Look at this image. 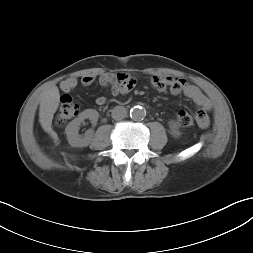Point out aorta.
Instances as JSON below:
<instances>
[{"mask_svg":"<svg viewBox=\"0 0 253 253\" xmlns=\"http://www.w3.org/2000/svg\"><path fill=\"white\" fill-rule=\"evenodd\" d=\"M130 116L133 120L139 121L144 119L146 116V111L142 106L137 105L131 108Z\"/></svg>","mask_w":253,"mask_h":253,"instance_id":"obj_1","label":"aorta"}]
</instances>
